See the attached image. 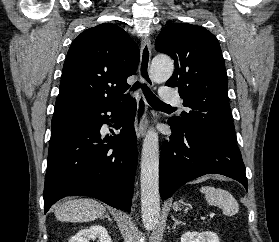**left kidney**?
Returning <instances> with one entry per match:
<instances>
[{
  "label": "left kidney",
  "instance_id": "obj_1",
  "mask_svg": "<svg viewBox=\"0 0 279 242\" xmlns=\"http://www.w3.org/2000/svg\"><path fill=\"white\" fill-rule=\"evenodd\" d=\"M181 242H220L216 233L205 231H187L181 236Z\"/></svg>",
  "mask_w": 279,
  "mask_h": 242
}]
</instances>
